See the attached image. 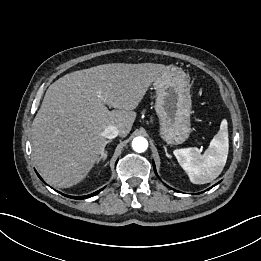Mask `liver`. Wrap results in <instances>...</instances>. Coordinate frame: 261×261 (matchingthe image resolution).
Returning a JSON list of instances; mask_svg holds the SVG:
<instances>
[{
    "instance_id": "obj_1",
    "label": "liver",
    "mask_w": 261,
    "mask_h": 261,
    "mask_svg": "<svg viewBox=\"0 0 261 261\" xmlns=\"http://www.w3.org/2000/svg\"><path fill=\"white\" fill-rule=\"evenodd\" d=\"M168 69L154 63H110L51 84L32 123L33 160L44 180L59 188L81 182L104 153V129L116 126L119 136L126 137L134 110Z\"/></svg>"
}]
</instances>
